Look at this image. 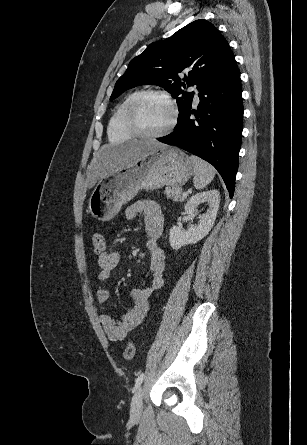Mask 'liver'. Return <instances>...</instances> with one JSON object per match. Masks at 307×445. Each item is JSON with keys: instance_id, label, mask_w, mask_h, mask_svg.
<instances>
[{"instance_id": "obj_1", "label": "liver", "mask_w": 307, "mask_h": 445, "mask_svg": "<svg viewBox=\"0 0 307 445\" xmlns=\"http://www.w3.org/2000/svg\"><path fill=\"white\" fill-rule=\"evenodd\" d=\"M168 144L162 142H152V140H137L133 144H125V146H110L104 144L97 152V158L91 166H88L87 186L93 188L97 180L102 178L104 174L113 172L115 168H124V166H132L140 156L147 154L148 150L154 148H163Z\"/></svg>"}]
</instances>
